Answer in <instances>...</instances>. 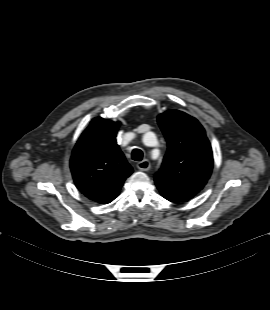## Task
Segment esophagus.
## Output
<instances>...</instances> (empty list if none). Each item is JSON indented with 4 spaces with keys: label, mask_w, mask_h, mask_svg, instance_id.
Returning a JSON list of instances; mask_svg holds the SVG:
<instances>
[{
    "label": "esophagus",
    "mask_w": 270,
    "mask_h": 310,
    "mask_svg": "<svg viewBox=\"0 0 270 310\" xmlns=\"http://www.w3.org/2000/svg\"><path fill=\"white\" fill-rule=\"evenodd\" d=\"M150 162L148 160H142L137 163V168L141 171H147L150 169Z\"/></svg>",
    "instance_id": "34e87169"
}]
</instances>
